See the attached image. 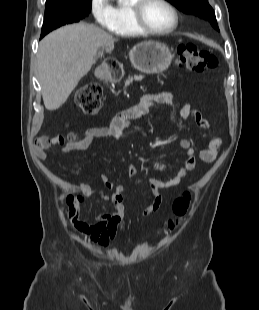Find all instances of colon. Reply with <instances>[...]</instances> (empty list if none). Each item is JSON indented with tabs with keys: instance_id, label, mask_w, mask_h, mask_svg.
I'll list each match as a JSON object with an SVG mask.
<instances>
[{
	"instance_id": "1",
	"label": "colon",
	"mask_w": 259,
	"mask_h": 310,
	"mask_svg": "<svg viewBox=\"0 0 259 310\" xmlns=\"http://www.w3.org/2000/svg\"><path fill=\"white\" fill-rule=\"evenodd\" d=\"M176 64L183 69L192 70L195 72H205L216 67L217 59L212 53L193 43H183L177 47ZM101 99L102 90L100 86L95 83L83 85L75 92L76 107L79 111L87 115H94L99 111ZM79 141L80 138L77 136H69L70 144H77ZM190 201V192H184L174 201L173 212L176 219L168 222V229H172L177 222V219L183 217L187 213L190 206ZM81 202V197L71 196L68 198L67 215L69 218L73 217L75 209Z\"/></svg>"
}]
</instances>
